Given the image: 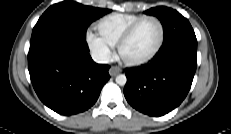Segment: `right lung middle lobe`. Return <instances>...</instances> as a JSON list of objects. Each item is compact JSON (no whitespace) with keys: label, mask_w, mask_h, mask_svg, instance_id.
<instances>
[{"label":"right lung middle lobe","mask_w":231,"mask_h":134,"mask_svg":"<svg viewBox=\"0 0 231 134\" xmlns=\"http://www.w3.org/2000/svg\"><path fill=\"white\" fill-rule=\"evenodd\" d=\"M110 11L109 9L84 6L72 1L54 4L39 18L33 28L31 38L49 29L63 30L84 38L89 24Z\"/></svg>","instance_id":"right-lung-middle-lobe-1"}]
</instances>
